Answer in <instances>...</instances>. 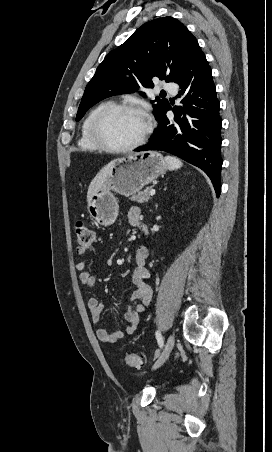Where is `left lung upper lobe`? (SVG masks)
I'll list each match as a JSON object with an SVG mask.
<instances>
[{
  "label": "left lung upper lobe",
  "mask_w": 272,
  "mask_h": 452,
  "mask_svg": "<svg viewBox=\"0 0 272 452\" xmlns=\"http://www.w3.org/2000/svg\"><path fill=\"white\" fill-rule=\"evenodd\" d=\"M196 38L177 19L157 18L139 27L122 45L106 55L86 86L76 121L97 102L112 95L153 87L152 78L173 82L185 64ZM144 95V93H142ZM156 119L168 105L152 103Z\"/></svg>",
  "instance_id": "obj_1"
}]
</instances>
